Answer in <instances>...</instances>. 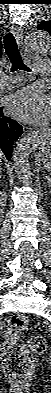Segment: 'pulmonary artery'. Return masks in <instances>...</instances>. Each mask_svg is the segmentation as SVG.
Returning <instances> with one entry per match:
<instances>
[{
    "label": "pulmonary artery",
    "instance_id": "1",
    "mask_svg": "<svg viewBox=\"0 0 51 393\" xmlns=\"http://www.w3.org/2000/svg\"><path fill=\"white\" fill-rule=\"evenodd\" d=\"M37 68L41 73L47 74L50 68V63L47 61H40L37 63ZM21 79L19 77L13 76H3L0 82L1 88H11L20 83Z\"/></svg>",
    "mask_w": 51,
    "mask_h": 393
}]
</instances>
